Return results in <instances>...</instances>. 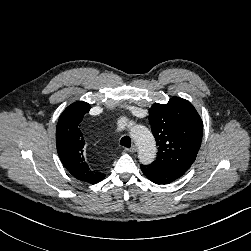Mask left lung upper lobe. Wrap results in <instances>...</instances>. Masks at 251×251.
I'll return each mask as SVG.
<instances>
[{
    "instance_id": "obj_1",
    "label": "left lung upper lobe",
    "mask_w": 251,
    "mask_h": 251,
    "mask_svg": "<svg viewBox=\"0 0 251 251\" xmlns=\"http://www.w3.org/2000/svg\"><path fill=\"white\" fill-rule=\"evenodd\" d=\"M149 122L159 146L151 165L184 174L195 161L202 141L203 123L194 106L172 97L167 104L151 106Z\"/></svg>"
}]
</instances>
